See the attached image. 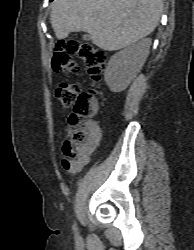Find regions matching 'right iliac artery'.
I'll return each mask as SVG.
<instances>
[{"instance_id": "obj_1", "label": "right iliac artery", "mask_w": 194, "mask_h": 250, "mask_svg": "<svg viewBox=\"0 0 194 250\" xmlns=\"http://www.w3.org/2000/svg\"><path fill=\"white\" fill-rule=\"evenodd\" d=\"M73 229L76 231L77 230V225L76 223L73 225Z\"/></svg>"}]
</instances>
